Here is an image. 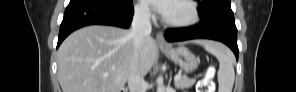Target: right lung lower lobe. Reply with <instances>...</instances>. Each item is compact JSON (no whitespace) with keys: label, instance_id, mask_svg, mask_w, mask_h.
Instances as JSON below:
<instances>
[{"label":"right lung lower lobe","instance_id":"98d812e1","mask_svg":"<svg viewBox=\"0 0 296 92\" xmlns=\"http://www.w3.org/2000/svg\"><path fill=\"white\" fill-rule=\"evenodd\" d=\"M134 14L132 0H70L60 26L57 48L74 30L88 25L128 28Z\"/></svg>","mask_w":296,"mask_h":92}]
</instances>
